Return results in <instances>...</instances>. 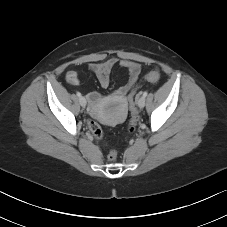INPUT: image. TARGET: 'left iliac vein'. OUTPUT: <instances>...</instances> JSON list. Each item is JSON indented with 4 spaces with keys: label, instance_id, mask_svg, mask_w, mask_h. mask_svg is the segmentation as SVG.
Wrapping results in <instances>:
<instances>
[{
    "label": "left iliac vein",
    "instance_id": "4c4485c4",
    "mask_svg": "<svg viewBox=\"0 0 227 227\" xmlns=\"http://www.w3.org/2000/svg\"><path fill=\"white\" fill-rule=\"evenodd\" d=\"M138 107L140 109H142L144 106H145V98L144 97H141L139 100H138Z\"/></svg>",
    "mask_w": 227,
    "mask_h": 227
}]
</instances>
